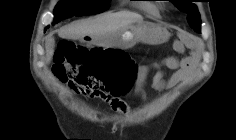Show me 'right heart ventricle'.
<instances>
[{
  "instance_id": "1",
  "label": "right heart ventricle",
  "mask_w": 236,
  "mask_h": 140,
  "mask_svg": "<svg viewBox=\"0 0 236 140\" xmlns=\"http://www.w3.org/2000/svg\"><path fill=\"white\" fill-rule=\"evenodd\" d=\"M134 7L147 15L155 16L158 14V7L152 3H140L134 5Z\"/></svg>"
}]
</instances>
